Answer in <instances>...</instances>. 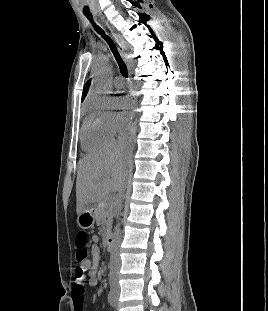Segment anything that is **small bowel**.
<instances>
[{"instance_id": "1", "label": "small bowel", "mask_w": 268, "mask_h": 311, "mask_svg": "<svg viewBox=\"0 0 268 311\" xmlns=\"http://www.w3.org/2000/svg\"><path fill=\"white\" fill-rule=\"evenodd\" d=\"M101 260L99 239L97 236L92 237L91 260L88 269L87 285L96 286L98 284V270ZM72 300L74 311H84V283L77 280L72 290Z\"/></svg>"}]
</instances>
